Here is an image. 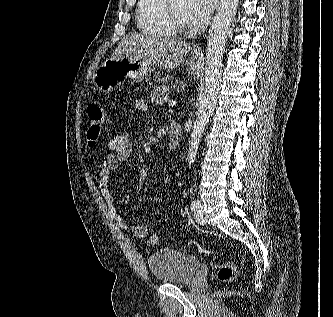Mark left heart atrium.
I'll list each match as a JSON object with an SVG mask.
<instances>
[{"instance_id": "1", "label": "left heart atrium", "mask_w": 333, "mask_h": 317, "mask_svg": "<svg viewBox=\"0 0 333 317\" xmlns=\"http://www.w3.org/2000/svg\"><path fill=\"white\" fill-rule=\"evenodd\" d=\"M213 8L212 0H186L185 15L189 24L202 26L209 20Z\"/></svg>"}]
</instances>
